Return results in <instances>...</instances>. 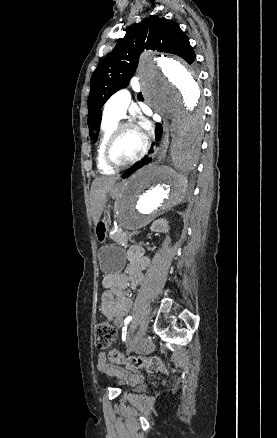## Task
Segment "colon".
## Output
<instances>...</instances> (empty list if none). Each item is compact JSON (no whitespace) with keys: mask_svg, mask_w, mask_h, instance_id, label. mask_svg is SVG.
Masks as SVG:
<instances>
[{"mask_svg":"<svg viewBox=\"0 0 277 438\" xmlns=\"http://www.w3.org/2000/svg\"><path fill=\"white\" fill-rule=\"evenodd\" d=\"M94 345L98 350L106 351L116 339L117 331L113 324L106 320H99L93 326ZM107 360L112 363L125 365L130 369L145 367L150 373H168L167 367L158 357L132 356L127 357L123 353H110Z\"/></svg>","mask_w":277,"mask_h":438,"instance_id":"colon-1","label":"colon"}]
</instances>
